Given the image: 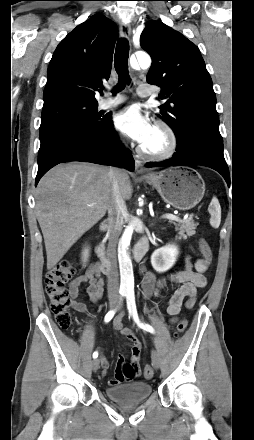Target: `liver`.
I'll return each instance as SVG.
<instances>
[{"label": "liver", "mask_w": 254, "mask_h": 440, "mask_svg": "<svg viewBox=\"0 0 254 440\" xmlns=\"http://www.w3.org/2000/svg\"><path fill=\"white\" fill-rule=\"evenodd\" d=\"M109 170L90 163H67L57 165L41 178L35 194L36 216L44 237L48 270L106 214L112 198ZM119 187L123 199H130L131 181L122 169Z\"/></svg>", "instance_id": "1"}]
</instances>
